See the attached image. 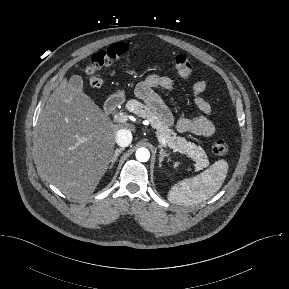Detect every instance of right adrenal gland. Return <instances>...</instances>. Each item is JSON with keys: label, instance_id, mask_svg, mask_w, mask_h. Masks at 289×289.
<instances>
[{"label": "right adrenal gland", "instance_id": "obj_1", "mask_svg": "<svg viewBox=\"0 0 289 289\" xmlns=\"http://www.w3.org/2000/svg\"><path fill=\"white\" fill-rule=\"evenodd\" d=\"M124 150V148H120V149H116L114 154H113V157L111 159V165H110V169L113 168L115 162L117 161V158L119 156V154Z\"/></svg>", "mask_w": 289, "mask_h": 289}]
</instances>
